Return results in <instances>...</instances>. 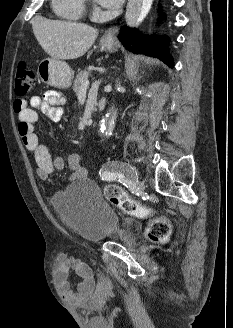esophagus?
Returning a JSON list of instances; mask_svg holds the SVG:
<instances>
[{"mask_svg":"<svg viewBox=\"0 0 233 328\" xmlns=\"http://www.w3.org/2000/svg\"><path fill=\"white\" fill-rule=\"evenodd\" d=\"M117 31H118L117 27H110L105 31L104 37L107 39H114Z\"/></svg>","mask_w":233,"mask_h":328,"instance_id":"1","label":"esophagus"}]
</instances>
